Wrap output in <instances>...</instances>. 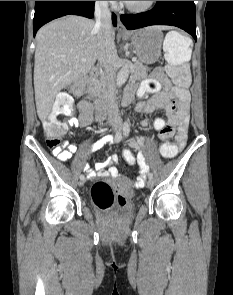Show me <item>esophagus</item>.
<instances>
[{
  "mask_svg": "<svg viewBox=\"0 0 233 295\" xmlns=\"http://www.w3.org/2000/svg\"><path fill=\"white\" fill-rule=\"evenodd\" d=\"M117 30L119 32H126L127 31V29L124 26V24L122 23L119 15H117Z\"/></svg>",
  "mask_w": 233,
  "mask_h": 295,
  "instance_id": "esophagus-1",
  "label": "esophagus"
}]
</instances>
